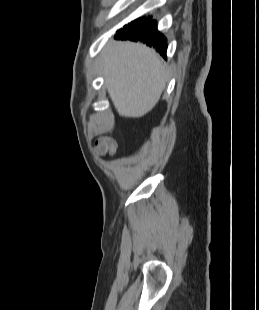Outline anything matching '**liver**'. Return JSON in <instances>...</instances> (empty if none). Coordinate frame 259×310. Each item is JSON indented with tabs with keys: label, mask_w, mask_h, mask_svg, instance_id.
<instances>
[{
	"label": "liver",
	"mask_w": 259,
	"mask_h": 310,
	"mask_svg": "<svg viewBox=\"0 0 259 310\" xmlns=\"http://www.w3.org/2000/svg\"><path fill=\"white\" fill-rule=\"evenodd\" d=\"M100 65L108 94L123 117L139 118L151 111L168 79L161 57L140 43H109Z\"/></svg>",
	"instance_id": "6515ba94"
}]
</instances>
